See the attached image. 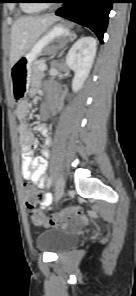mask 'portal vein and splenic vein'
<instances>
[{"instance_id":"obj_1","label":"portal vein and splenic vein","mask_w":136,"mask_h":296,"mask_svg":"<svg viewBox=\"0 0 136 296\" xmlns=\"http://www.w3.org/2000/svg\"><path fill=\"white\" fill-rule=\"evenodd\" d=\"M40 70H44V69H46V66L45 65H43V66H40V68H39Z\"/></svg>"}]
</instances>
